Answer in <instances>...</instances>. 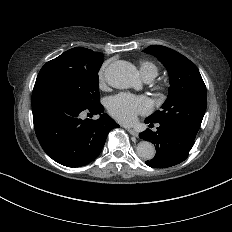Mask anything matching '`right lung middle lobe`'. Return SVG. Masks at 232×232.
Segmentation results:
<instances>
[{"label": "right lung middle lobe", "mask_w": 232, "mask_h": 232, "mask_svg": "<svg viewBox=\"0 0 232 232\" xmlns=\"http://www.w3.org/2000/svg\"><path fill=\"white\" fill-rule=\"evenodd\" d=\"M102 62V53L76 47L47 62L38 76L61 82L81 103L94 105L100 103L98 71Z\"/></svg>", "instance_id": "right-lung-middle-lobe-1"}]
</instances>
